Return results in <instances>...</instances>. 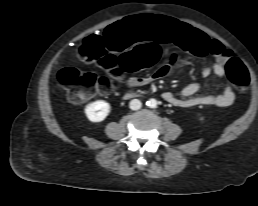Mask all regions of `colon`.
Here are the masks:
<instances>
[{"instance_id":"obj_1","label":"colon","mask_w":258,"mask_h":206,"mask_svg":"<svg viewBox=\"0 0 258 206\" xmlns=\"http://www.w3.org/2000/svg\"><path fill=\"white\" fill-rule=\"evenodd\" d=\"M78 56L87 63L96 64L108 75L99 76L74 67H62L57 72L56 80L72 103H81L95 94H107L117 89L126 73L153 66L160 57V49L156 45L146 44L117 56L103 42L87 40L79 48ZM225 72L237 90L247 91L250 84L249 72L238 58L232 57L226 62Z\"/></svg>"}]
</instances>
